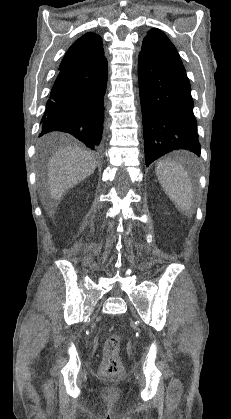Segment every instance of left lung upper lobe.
I'll return each instance as SVG.
<instances>
[{
    "mask_svg": "<svg viewBox=\"0 0 231 419\" xmlns=\"http://www.w3.org/2000/svg\"><path fill=\"white\" fill-rule=\"evenodd\" d=\"M140 53L153 60L183 66L175 46L171 43L169 38L158 29H151L148 32L143 40Z\"/></svg>",
    "mask_w": 231,
    "mask_h": 419,
    "instance_id": "obj_1",
    "label": "left lung upper lobe"
}]
</instances>
